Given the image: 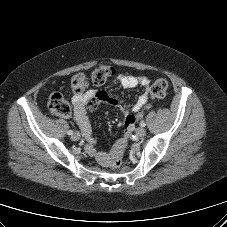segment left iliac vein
<instances>
[{"label": "left iliac vein", "mask_w": 227, "mask_h": 227, "mask_svg": "<svg viewBox=\"0 0 227 227\" xmlns=\"http://www.w3.org/2000/svg\"><path fill=\"white\" fill-rule=\"evenodd\" d=\"M136 135L138 137H144L146 135V130L144 128H138L136 130Z\"/></svg>", "instance_id": "left-iliac-vein-1"}]
</instances>
